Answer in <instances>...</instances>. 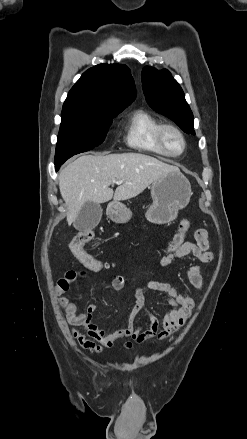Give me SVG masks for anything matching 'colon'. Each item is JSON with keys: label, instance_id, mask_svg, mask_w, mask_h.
Listing matches in <instances>:
<instances>
[{"label": "colon", "instance_id": "1", "mask_svg": "<svg viewBox=\"0 0 247 439\" xmlns=\"http://www.w3.org/2000/svg\"><path fill=\"white\" fill-rule=\"evenodd\" d=\"M189 228L190 222L188 220L180 221L176 234L167 247V252L172 253L181 246ZM93 236L94 234L91 230L76 232L70 242V250L86 269L100 271L106 267V264L84 249V246L92 240Z\"/></svg>", "mask_w": 247, "mask_h": 439}]
</instances>
